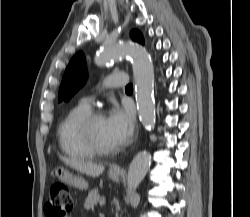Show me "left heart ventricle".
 <instances>
[{"label": "left heart ventricle", "mask_w": 250, "mask_h": 217, "mask_svg": "<svg viewBox=\"0 0 250 217\" xmlns=\"http://www.w3.org/2000/svg\"><path fill=\"white\" fill-rule=\"evenodd\" d=\"M94 135L97 141L104 147L114 148L118 145L116 144L115 140L113 139L109 127L107 125L106 118L100 117L98 118L93 126Z\"/></svg>", "instance_id": "1"}]
</instances>
